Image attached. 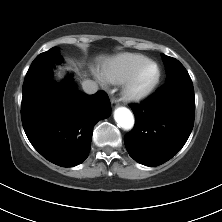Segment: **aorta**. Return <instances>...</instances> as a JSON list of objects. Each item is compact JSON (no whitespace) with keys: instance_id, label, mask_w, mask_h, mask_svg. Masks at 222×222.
I'll use <instances>...</instances> for the list:
<instances>
[{"instance_id":"obj_1","label":"aorta","mask_w":222,"mask_h":222,"mask_svg":"<svg viewBox=\"0 0 222 222\" xmlns=\"http://www.w3.org/2000/svg\"><path fill=\"white\" fill-rule=\"evenodd\" d=\"M114 119L119 127L124 130H130L134 126V116L126 107H119L114 111Z\"/></svg>"}]
</instances>
